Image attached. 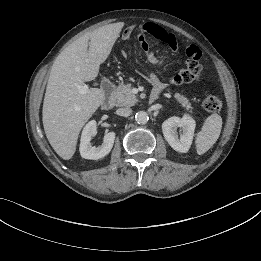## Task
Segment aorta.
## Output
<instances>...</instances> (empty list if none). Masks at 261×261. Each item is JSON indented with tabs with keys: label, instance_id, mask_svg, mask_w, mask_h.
I'll return each mask as SVG.
<instances>
[{
	"label": "aorta",
	"instance_id": "1",
	"mask_svg": "<svg viewBox=\"0 0 261 261\" xmlns=\"http://www.w3.org/2000/svg\"><path fill=\"white\" fill-rule=\"evenodd\" d=\"M135 120L138 124H146L149 120L148 114L144 111H139L135 115Z\"/></svg>",
	"mask_w": 261,
	"mask_h": 261
}]
</instances>
